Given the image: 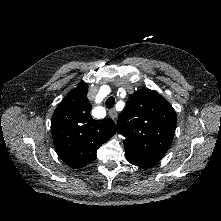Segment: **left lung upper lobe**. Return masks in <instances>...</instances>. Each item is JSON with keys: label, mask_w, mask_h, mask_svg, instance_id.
Segmentation results:
<instances>
[{"label": "left lung upper lobe", "mask_w": 221, "mask_h": 221, "mask_svg": "<svg viewBox=\"0 0 221 221\" xmlns=\"http://www.w3.org/2000/svg\"><path fill=\"white\" fill-rule=\"evenodd\" d=\"M175 129L173 108L150 89L134 92L117 122L118 133L125 137L126 158L138 167H151L166 154Z\"/></svg>", "instance_id": "1"}]
</instances>
